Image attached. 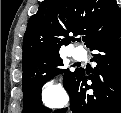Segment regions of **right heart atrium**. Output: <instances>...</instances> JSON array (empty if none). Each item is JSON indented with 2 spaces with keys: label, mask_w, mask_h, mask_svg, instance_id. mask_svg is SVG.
Returning <instances> with one entry per match:
<instances>
[{
  "label": "right heart atrium",
  "mask_w": 121,
  "mask_h": 113,
  "mask_svg": "<svg viewBox=\"0 0 121 113\" xmlns=\"http://www.w3.org/2000/svg\"><path fill=\"white\" fill-rule=\"evenodd\" d=\"M42 98L50 106H60L66 102V93L60 84L49 81L43 87Z\"/></svg>",
  "instance_id": "d8ad5b80"
}]
</instances>
